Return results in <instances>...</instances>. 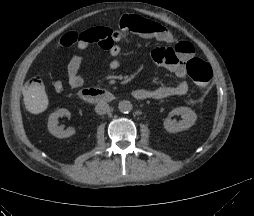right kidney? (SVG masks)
Returning <instances> with one entry per match:
<instances>
[{
	"label": "right kidney",
	"instance_id": "ca27d5eb",
	"mask_svg": "<svg viewBox=\"0 0 254 216\" xmlns=\"http://www.w3.org/2000/svg\"><path fill=\"white\" fill-rule=\"evenodd\" d=\"M70 112L65 109H59L49 115L48 118V130L49 132L57 138H67L75 134L74 128H68L63 130L62 127L58 126V119L62 116H69Z\"/></svg>",
	"mask_w": 254,
	"mask_h": 216
}]
</instances>
